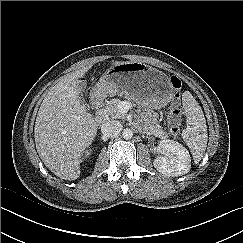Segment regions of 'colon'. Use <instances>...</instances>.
Listing matches in <instances>:
<instances>
[{
	"instance_id": "5ec220e1",
	"label": "colon",
	"mask_w": 243,
	"mask_h": 243,
	"mask_svg": "<svg viewBox=\"0 0 243 243\" xmlns=\"http://www.w3.org/2000/svg\"><path fill=\"white\" fill-rule=\"evenodd\" d=\"M171 86L173 89L176 91L172 104L170 106V110L168 113V127L169 131L173 135H177L180 131V126H181V121H182V113H181V108H180V94L179 90L182 87V82L181 80L173 76L170 80Z\"/></svg>"
}]
</instances>
